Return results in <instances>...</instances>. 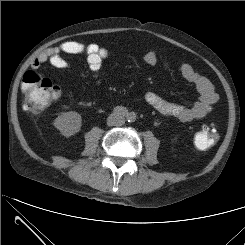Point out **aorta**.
I'll return each instance as SVG.
<instances>
[{"label":"aorta","instance_id":"762f6f07","mask_svg":"<svg viewBox=\"0 0 245 245\" xmlns=\"http://www.w3.org/2000/svg\"><path fill=\"white\" fill-rule=\"evenodd\" d=\"M135 119H136V116H135L134 114H130V115L128 116V120H129V121H135Z\"/></svg>","mask_w":245,"mask_h":245}]
</instances>
